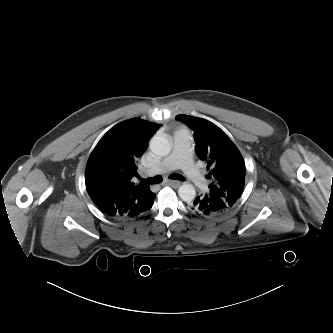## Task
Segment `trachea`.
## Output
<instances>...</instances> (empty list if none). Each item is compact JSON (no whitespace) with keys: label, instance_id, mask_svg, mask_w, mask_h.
<instances>
[{"label":"trachea","instance_id":"trachea-1","mask_svg":"<svg viewBox=\"0 0 333 333\" xmlns=\"http://www.w3.org/2000/svg\"><path fill=\"white\" fill-rule=\"evenodd\" d=\"M169 179H172V180H179V181H184V177L180 174H171L169 176ZM144 183L146 184H158V183H161L163 181L162 177L161 176H155L153 178H148L146 180H142Z\"/></svg>","mask_w":333,"mask_h":333}]
</instances>
